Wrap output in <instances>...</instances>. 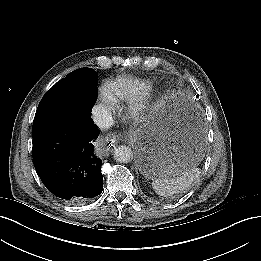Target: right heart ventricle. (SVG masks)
I'll use <instances>...</instances> for the list:
<instances>
[{
	"instance_id": "1",
	"label": "right heart ventricle",
	"mask_w": 261,
	"mask_h": 261,
	"mask_svg": "<svg viewBox=\"0 0 261 261\" xmlns=\"http://www.w3.org/2000/svg\"><path fill=\"white\" fill-rule=\"evenodd\" d=\"M106 91L111 94L115 100L123 99L131 93L125 79L111 83Z\"/></svg>"
}]
</instances>
